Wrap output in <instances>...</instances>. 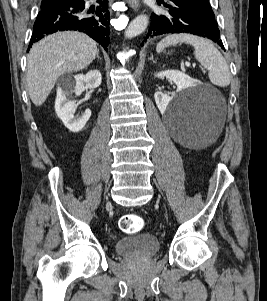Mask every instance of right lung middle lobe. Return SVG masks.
<instances>
[{
  "mask_svg": "<svg viewBox=\"0 0 267 301\" xmlns=\"http://www.w3.org/2000/svg\"><path fill=\"white\" fill-rule=\"evenodd\" d=\"M49 5H52V4L48 1H42L41 8L47 7Z\"/></svg>",
  "mask_w": 267,
  "mask_h": 301,
  "instance_id": "right-lung-middle-lobe-1",
  "label": "right lung middle lobe"
}]
</instances>
